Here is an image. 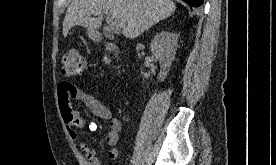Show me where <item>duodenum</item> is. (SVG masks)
I'll return each instance as SVG.
<instances>
[{
  "mask_svg": "<svg viewBox=\"0 0 276 165\" xmlns=\"http://www.w3.org/2000/svg\"><path fill=\"white\" fill-rule=\"evenodd\" d=\"M106 48H107V50L110 51L113 55H115L116 57L118 56L119 51H118V48H117L115 45H113V44H108V45L106 46Z\"/></svg>",
  "mask_w": 276,
  "mask_h": 165,
  "instance_id": "duodenum-1",
  "label": "duodenum"
}]
</instances>
